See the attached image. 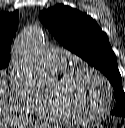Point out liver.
<instances>
[{
    "label": "liver",
    "instance_id": "1",
    "mask_svg": "<svg viewBox=\"0 0 125 128\" xmlns=\"http://www.w3.org/2000/svg\"><path fill=\"white\" fill-rule=\"evenodd\" d=\"M11 97L7 84L0 77V128H9L12 125H16V122L12 120Z\"/></svg>",
    "mask_w": 125,
    "mask_h": 128
}]
</instances>
